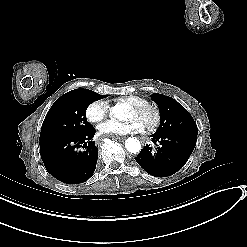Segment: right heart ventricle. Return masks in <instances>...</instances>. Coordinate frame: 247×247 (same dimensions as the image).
Here are the masks:
<instances>
[{
    "mask_svg": "<svg viewBox=\"0 0 247 247\" xmlns=\"http://www.w3.org/2000/svg\"><path fill=\"white\" fill-rule=\"evenodd\" d=\"M145 99L139 96H124L119 99H117V102L119 104L125 105L128 107V105H139L140 103L144 102ZM118 123V122H116Z\"/></svg>",
    "mask_w": 247,
    "mask_h": 247,
    "instance_id": "1",
    "label": "right heart ventricle"
}]
</instances>
